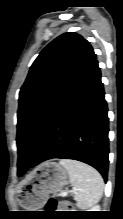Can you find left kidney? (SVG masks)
I'll list each match as a JSON object with an SVG mask.
<instances>
[{
    "instance_id": "left-kidney-1",
    "label": "left kidney",
    "mask_w": 123,
    "mask_h": 219,
    "mask_svg": "<svg viewBox=\"0 0 123 219\" xmlns=\"http://www.w3.org/2000/svg\"><path fill=\"white\" fill-rule=\"evenodd\" d=\"M99 206L94 207V209H92L91 211H99Z\"/></svg>"
}]
</instances>
